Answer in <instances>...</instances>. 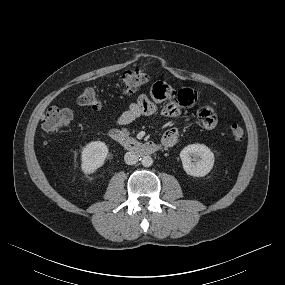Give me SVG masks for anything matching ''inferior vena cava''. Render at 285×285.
Segmentation results:
<instances>
[{
    "label": "inferior vena cava",
    "mask_w": 285,
    "mask_h": 285,
    "mask_svg": "<svg viewBox=\"0 0 285 285\" xmlns=\"http://www.w3.org/2000/svg\"><path fill=\"white\" fill-rule=\"evenodd\" d=\"M125 163L128 165L136 164L138 161V156L134 152H127L124 156Z\"/></svg>",
    "instance_id": "602c4592"
}]
</instances>
